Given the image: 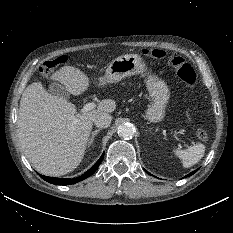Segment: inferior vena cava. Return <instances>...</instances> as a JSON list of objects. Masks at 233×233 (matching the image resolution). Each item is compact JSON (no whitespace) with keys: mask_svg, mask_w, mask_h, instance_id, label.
Instances as JSON below:
<instances>
[{"mask_svg":"<svg viewBox=\"0 0 233 233\" xmlns=\"http://www.w3.org/2000/svg\"><path fill=\"white\" fill-rule=\"evenodd\" d=\"M112 121V116L108 113H100L94 118V124L99 128H107Z\"/></svg>","mask_w":233,"mask_h":233,"instance_id":"602c4592","label":"inferior vena cava"}]
</instances>
